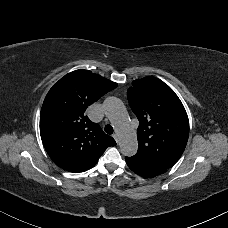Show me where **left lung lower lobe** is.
I'll return each mask as SVG.
<instances>
[{
	"instance_id": "0a47b994",
	"label": "left lung lower lobe",
	"mask_w": 228,
	"mask_h": 228,
	"mask_svg": "<svg viewBox=\"0 0 228 228\" xmlns=\"http://www.w3.org/2000/svg\"><path fill=\"white\" fill-rule=\"evenodd\" d=\"M125 160L127 165L132 171H134L136 174L145 178H150V177L160 175L166 172L168 169L166 167L141 160L134 156L126 157Z\"/></svg>"
}]
</instances>
